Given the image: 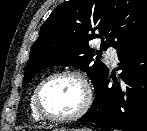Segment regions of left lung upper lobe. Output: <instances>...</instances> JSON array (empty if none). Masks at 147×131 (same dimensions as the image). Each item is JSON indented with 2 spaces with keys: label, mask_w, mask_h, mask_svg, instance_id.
<instances>
[{
  "label": "left lung upper lobe",
  "mask_w": 147,
  "mask_h": 131,
  "mask_svg": "<svg viewBox=\"0 0 147 131\" xmlns=\"http://www.w3.org/2000/svg\"><path fill=\"white\" fill-rule=\"evenodd\" d=\"M147 30V0H69L60 4L41 26L25 70V86L40 70L54 65H72L87 72L95 92L108 75L89 41L101 38V49L117 51Z\"/></svg>",
  "instance_id": "obj_1"
}]
</instances>
